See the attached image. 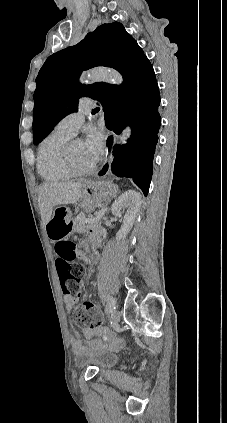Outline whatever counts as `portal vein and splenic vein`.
Returning a JSON list of instances; mask_svg holds the SVG:
<instances>
[{
  "instance_id": "18ae733b",
  "label": "portal vein and splenic vein",
  "mask_w": 227,
  "mask_h": 423,
  "mask_svg": "<svg viewBox=\"0 0 227 423\" xmlns=\"http://www.w3.org/2000/svg\"><path fill=\"white\" fill-rule=\"evenodd\" d=\"M105 216V211L103 209L99 210V214L94 217V219H90V217H84V223H94V221L100 220L102 217Z\"/></svg>"
}]
</instances>
